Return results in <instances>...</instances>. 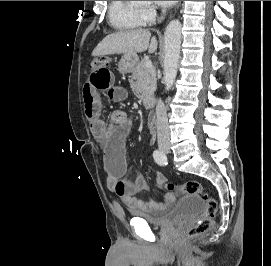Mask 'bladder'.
<instances>
[{
    "label": "bladder",
    "instance_id": "31cf9c89",
    "mask_svg": "<svg viewBox=\"0 0 271 266\" xmlns=\"http://www.w3.org/2000/svg\"><path fill=\"white\" fill-rule=\"evenodd\" d=\"M204 206L205 202L199 195L188 194L176 205L168 209L167 212L158 216H151L137 211L132 212V216L142 219L153 226H166L198 213Z\"/></svg>",
    "mask_w": 271,
    "mask_h": 266
}]
</instances>
